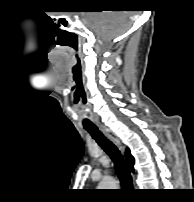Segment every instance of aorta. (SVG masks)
<instances>
[{
  "mask_svg": "<svg viewBox=\"0 0 194 202\" xmlns=\"http://www.w3.org/2000/svg\"><path fill=\"white\" fill-rule=\"evenodd\" d=\"M114 180L109 177H105L99 185V189H110L114 187Z\"/></svg>",
  "mask_w": 194,
  "mask_h": 202,
  "instance_id": "762f6f07",
  "label": "aorta"
}]
</instances>
